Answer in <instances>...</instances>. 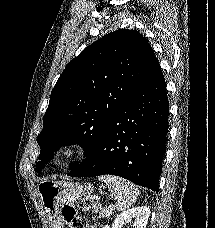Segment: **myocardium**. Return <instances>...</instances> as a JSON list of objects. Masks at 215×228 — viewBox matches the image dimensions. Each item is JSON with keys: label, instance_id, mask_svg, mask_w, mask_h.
<instances>
[{"label": "myocardium", "instance_id": "myocardium-1", "mask_svg": "<svg viewBox=\"0 0 215 228\" xmlns=\"http://www.w3.org/2000/svg\"><path fill=\"white\" fill-rule=\"evenodd\" d=\"M81 153V146L77 142H66L54 152V160L57 162H68L75 159Z\"/></svg>", "mask_w": 215, "mask_h": 228}]
</instances>
